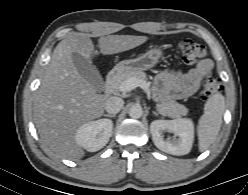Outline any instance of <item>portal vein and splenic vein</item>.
<instances>
[{
    "label": "portal vein and splenic vein",
    "instance_id": "obj_1",
    "mask_svg": "<svg viewBox=\"0 0 248 195\" xmlns=\"http://www.w3.org/2000/svg\"><path fill=\"white\" fill-rule=\"evenodd\" d=\"M137 87H141L146 93H149V84L146 81L136 78L126 80L119 86L118 90L121 92H128Z\"/></svg>",
    "mask_w": 248,
    "mask_h": 195
}]
</instances>
